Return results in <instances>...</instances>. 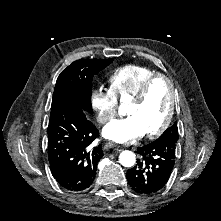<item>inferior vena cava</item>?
<instances>
[{
  "mask_svg": "<svg viewBox=\"0 0 221 221\" xmlns=\"http://www.w3.org/2000/svg\"><path fill=\"white\" fill-rule=\"evenodd\" d=\"M106 121H107V118H103V119L101 120L102 123H104V122H106Z\"/></svg>",
  "mask_w": 221,
  "mask_h": 221,
  "instance_id": "1",
  "label": "inferior vena cava"
}]
</instances>
